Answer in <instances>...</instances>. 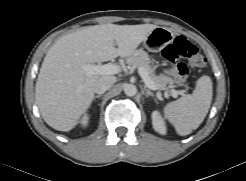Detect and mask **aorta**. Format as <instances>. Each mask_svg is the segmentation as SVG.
I'll use <instances>...</instances> for the list:
<instances>
[{
  "label": "aorta",
  "instance_id": "762f6f07",
  "mask_svg": "<svg viewBox=\"0 0 246 181\" xmlns=\"http://www.w3.org/2000/svg\"><path fill=\"white\" fill-rule=\"evenodd\" d=\"M124 93L129 97L135 96L137 93V88L133 84H126L124 86Z\"/></svg>",
  "mask_w": 246,
  "mask_h": 181
}]
</instances>
